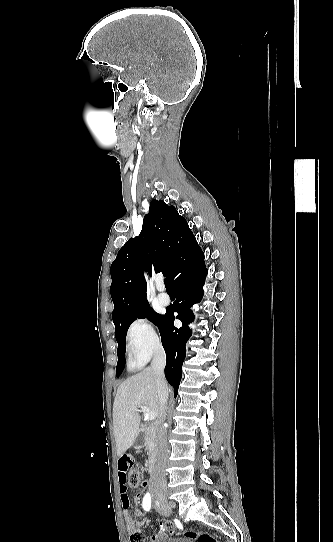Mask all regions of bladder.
Here are the masks:
<instances>
[{"mask_svg":"<svg viewBox=\"0 0 333 542\" xmlns=\"http://www.w3.org/2000/svg\"><path fill=\"white\" fill-rule=\"evenodd\" d=\"M167 542H194V540L182 537H171Z\"/></svg>","mask_w":333,"mask_h":542,"instance_id":"obj_1","label":"bladder"}]
</instances>
